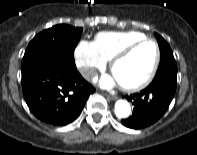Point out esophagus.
Segmentation results:
<instances>
[{"instance_id":"esophagus-1","label":"esophagus","mask_w":197,"mask_h":155,"mask_svg":"<svg viewBox=\"0 0 197 155\" xmlns=\"http://www.w3.org/2000/svg\"><path fill=\"white\" fill-rule=\"evenodd\" d=\"M105 96L110 99V100H116L117 99V96H113V95H108V94H105Z\"/></svg>"}]
</instances>
